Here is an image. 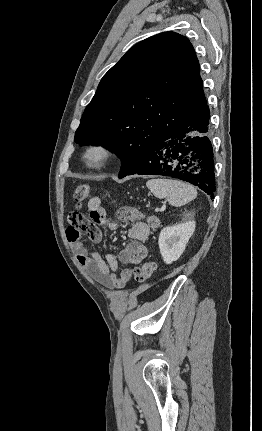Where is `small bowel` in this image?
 <instances>
[{
	"label": "small bowel",
	"mask_w": 262,
	"mask_h": 431,
	"mask_svg": "<svg viewBox=\"0 0 262 431\" xmlns=\"http://www.w3.org/2000/svg\"><path fill=\"white\" fill-rule=\"evenodd\" d=\"M101 205V198L92 197L87 204L91 222H86L80 217L77 224H71L67 228L66 236L76 253L77 261L87 274L101 285L118 290L124 288L133 276L130 264L138 263L147 256L145 242L160 227V220L151 216L146 222H142L139 219L143 216L138 211L124 210L121 214L123 219L135 220L127 232L130 241L118 254L107 253L106 259L103 260L99 252L87 251L80 240L81 235L86 234L92 241L99 242L101 232L98 226H107L111 229L116 227Z\"/></svg>",
	"instance_id": "c3829d8e"
}]
</instances>
